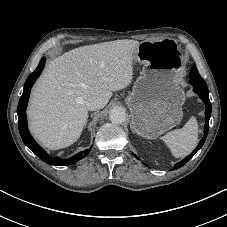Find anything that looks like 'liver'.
I'll use <instances>...</instances> for the list:
<instances>
[{
  "instance_id": "obj_1",
  "label": "liver",
  "mask_w": 227,
  "mask_h": 227,
  "mask_svg": "<svg viewBox=\"0 0 227 227\" xmlns=\"http://www.w3.org/2000/svg\"><path fill=\"white\" fill-rule=\"evenodd\" d=\"M139 45L130 39L86 45L51 61L31 92L27 110L34 138L51 150L76 142L88 118L85 102L96 96L104 107L114 91L131 83Z\"/></svg>"
}]
</instances>
